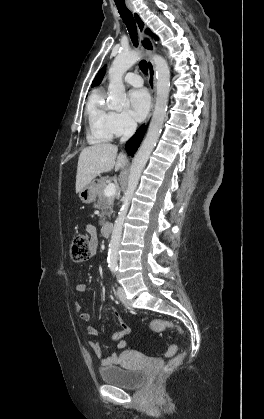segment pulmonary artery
Segmentation results:
<instances>
[{"label": "pulmonary artery", "instance_id": "e3ab8cb5", "mask_svg": "<svg viewBox=\"0 0 264 419\" xmlns=\"http://www.w3.org/2000/svg\"><path fill=\"white\" fill-rule=\"evenodd\" d=\"M124 81L134 87H140L143 84L141 76L136 73H127L124 76Z\"/></svg>", "mask_w": 264, "mask_h": 419}]
</instances>
